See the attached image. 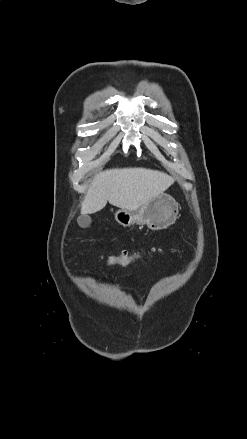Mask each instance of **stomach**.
<instances>
[{
    "instance_id": "0dacf381",
    "label": "stomach",
    "mask_w": 247,
    "mask_h": 439,
    "mask_svg": "<svg viewBox=\"0 0 247 439\" xmlns=\"http://www.w3.org/2000/svg\"><path fill=\"white\" fill-rule=\"evenodd\" d=\"M178 216V203L169 194L162 193L141 205L137 210L120 209L115 220L124 227L146 225L151 230H161L172 225Z\"/></svg>"
}]
</instances>
